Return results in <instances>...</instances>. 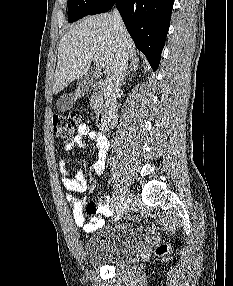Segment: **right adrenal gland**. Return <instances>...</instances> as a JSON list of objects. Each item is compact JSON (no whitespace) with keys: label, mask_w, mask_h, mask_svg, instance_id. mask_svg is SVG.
<instances>
[{"label":"right adrenal gland","mask_w":233,"mask_h":286,"mask_svg":"<svg viewBox=\"0 0 233 286\" xmlns=\"http://www.w3.org/2000/svg\"><path fill=\"white\" fill-rule=\"evenodd\" d=\"M138 63H139V59L137 58L131 59L130 65L128 66L127 71L125 73V78L128 77L130 72L138 70Z\"/></svg>","instance_id":"1"}]
</instances>
